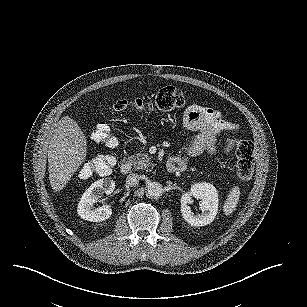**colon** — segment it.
Segmentation results:
<instances>
[{"instance_id": "obj_1", "label": "colon", "mask_w": 307, "mask_h": 307, "mask_svg": "<svg viewBox=\"0 0 307 307\" xmlns=\"http://www.w3.org/2000/svg\"><path fill=\"white\" fill-rule=\"evenodd\" d=\"M185 98L183 92L174 86L161 88L152 100L144 98L119 99L115 102L114 108L117 111H123L128 108L137 110L159 109L169 111L180 108L184 105ZM91 139L99 144L109 147L118 145V138L112 130L105 124L98 125L92 132ZM235 149L237 158V175L242 182H249L253 176L254 170V146L250 141L239 140L235 138L228 139ZM116 160L110 155H98L86 160L79 170L81 178H87L92 175L108 174L115 166Z\"/></svg>"}]
</instances>
